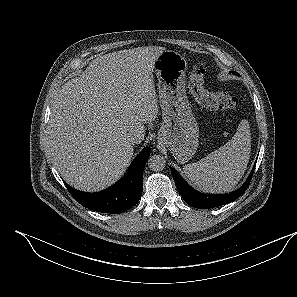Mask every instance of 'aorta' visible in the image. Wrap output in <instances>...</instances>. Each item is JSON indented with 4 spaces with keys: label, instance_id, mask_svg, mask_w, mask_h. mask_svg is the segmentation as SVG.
I'll use <instances>...</instances> for the list:
<instances>
[{
    "label": "aorta",
    "instance_id": "aorta-1",
    "mask_svg": "<svg viewBox=\"0 0 297 297\" xmlns=\"http://www.w3.org/2000/svg\"><path fill=\"white\" fill-rule=\"evenodd\" d=\"M148 166L152 171H162L166 166V161L161 155H153L148 159Z\"/></svg>",
    "mask_w": 297,
    "mask_h": 297
}]
</instances>
